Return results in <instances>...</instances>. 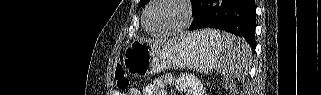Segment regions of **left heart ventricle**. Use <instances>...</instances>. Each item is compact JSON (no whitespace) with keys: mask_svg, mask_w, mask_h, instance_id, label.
<instances>
[{"mask_svg":"<svg viewBox=\"0 0 321 95\" xmlns=\"http://www.w3.org/2000/svg\"><path fill=\"white\" fill-rule=\"evenodd\" d=\"M184 20V11L173 0H161L148 12L147 26L156 33L167 32L177 28Z\"/></svg>","mask_w":321,"mask_h":95,"instance_id":"left-heart-ventricle-1","label":"left heart ventricle"}]
</instances>
